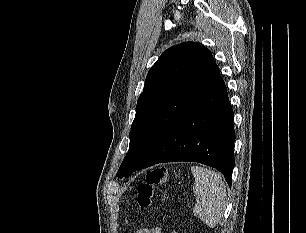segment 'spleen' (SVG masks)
I'll return each instance as SVG.
<instances>
[{"label":"spleen","mask_w":306,"mask_h":233,"mask_svg":"<svg viewBox=\"0 0 306 233\" xmlns=\"http://www.w3.org/2000/svg\"><path fill=\"white\" fill-rule=\"evenodd\" d=\"M191 172L195 178L193 192L200 201L193 208L194 215L208 227H215L226 208V188L222 177L207 168L192 166Z\"/></svg>","instance_id":"1"}]
</instances>
